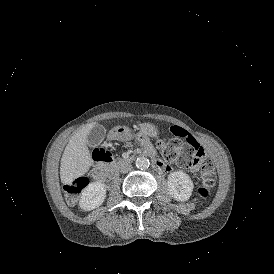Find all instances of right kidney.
<instances>
[{
	"label": "right kidney",
	"instance_id": "1",
	"mask_svg": "<svg viewBox=\"0 0 274 274\" xmlns=\"http://www.w3.org/2000/svg\"><path fill=\"white\" fill-rule=\"evenodd\" d=\"M79 206L85 211L93 210L102 205L106 197V186L100 182L89 183L81 193Z\"/></svg>",
	"mask_w": 274,
	"mask_h": 274
}]
</instances>
